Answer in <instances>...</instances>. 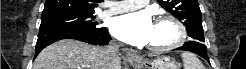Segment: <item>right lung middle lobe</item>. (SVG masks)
Here are the masks:
<instances>
[{"label": "right lung middle lobe", "mask_w": 246, "mask_h": 69, "mask_svg": "<svg viewBox=\"0 0 246 69\" xmlns=\"http://www.w3.org/2000/svg\"><path fill=\"white\" fill-rule=\"evenodd\" d=\"M93 14H59L45 16L41 19L40 28L69 27L96 30L99 28L96 26L98 23L93 21L95 18Z\"/></svg>", "instance_id": "right-lung-middle-lobe-1"}]
</instances>
